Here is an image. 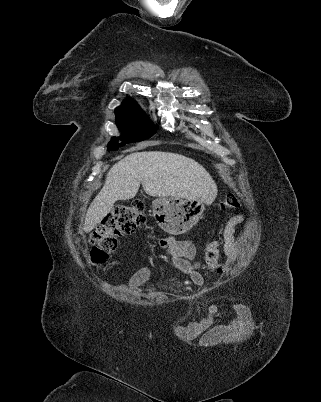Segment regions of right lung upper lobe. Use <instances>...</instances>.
<instances>
[{
    "label": "right lung upper lobe",
    "mask_w": 321,
    "mask_h": 402,
    "mask_svg": "<svg viewBox=\"0 0 321 402\" xmlns=\"http://www.w3.org/2000/svg\"><path fill=\"white\" fill-rule=\"evenodd\" d=\"M121 106L138 107V108H139V106L137 105V103H136L135 101L131 100V99L125 100V101L122 103Z\"/></svg>",
    "instance_id": "obj_1"
}]
</instances>
